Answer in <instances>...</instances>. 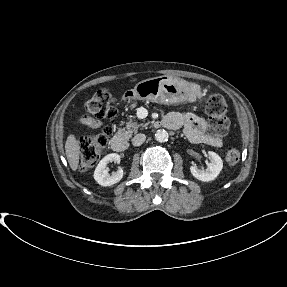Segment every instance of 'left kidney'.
<instances>
[{
	"instance_id": "left-kidney-1",
	"label": "left kidney",
	"mask_w": 287,
	"mask_h": 287,
	"mask_svg": "<svg viewBox=\"0 0 287 287\" xmlns=\"http://www.w3.org/2000/svg\"><path fill=\"white\" fill-rule=\"evenodd\" d=\"M211 162L206 169H199L197 166H191L192 175L200 181L208 182L214 180L223 168L221 157L213 151L208 152Z\"/></svg>"
}]
</instances>
